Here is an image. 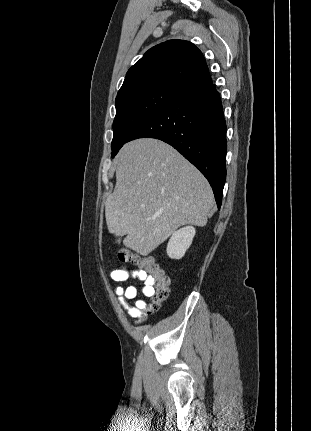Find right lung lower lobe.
<instances>
[{"instance_id":"obj_1","label":"right lung lower lobe","mask_w":311,"mask_h":431,"mask_svg":"<svg viewBox=\"0 0 311 431\" xmlns=\"http://www.w3.org/2000/svg\"><path fill=\"white\" fill-rule=\"evenodd\" d=\"M226 123L211 83L189 91L138 126L128 142L160 139L179 151L209 181L218 208L226 179Z\"/></svg>"}]
</instances>
